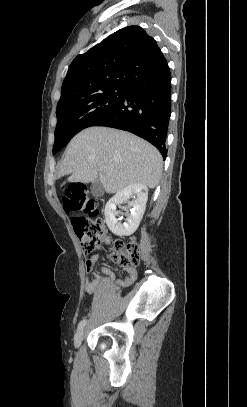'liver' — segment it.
<instances>
[{"label":"liver","mask_w":247,"mask_h":407,"mask_svg":"<svg viewBox=\"0 0 247 407\" xmlns=\"http://www.w3.org/2000/svg\"><path fill=\"white\" fill-rule=\"evenodd\" d=\"M162 156L147 141L117 129L90 127L68 144L58 176L69 182H94L98 177L109 194L131 184L155 188L162 173ZM102 168V170H101Z\"/></svg>","instance_id":"1"}]
</instances>
